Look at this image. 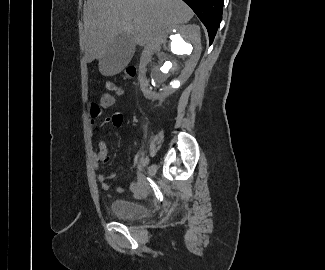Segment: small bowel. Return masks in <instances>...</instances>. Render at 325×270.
I'll return each mask as SVG.
<instances>
[{
  "label": "small bowel",
  "mask_w": 325,
  "mask_h": 270,
  "mask_svg": "<svg viewBox=\"0 0 325 270\" xmlns=\"http://www.w3.org/2000/svg\"><path fill=\"white\" fill-rule=\"evenodd\" d=\"M114 103H100L93 102L90 105V115L91 121L90 125L94 128L97 125L96 119L102 115V110L108 107H111ZM123 122V114L119 111L112 113L110 116L106 117L103 121L104 126L110 127H119ZM94 160L96 167L99 164H105L109 160L108 156V148L107 144L104 140L98 141V150L94 153ZM115 178V173H102L97 176L99 183L101 184V188L105 191L110 189V185L108 183L109 180ZM129 189L131 193L137 198H145L149 194V189L143 182L142 177H138L136 181L130 183ZM116 191L118 193L124 192L123 186H117Z\"/></svg>",
  "instance_id": "obj_1"
}]
</instances>
